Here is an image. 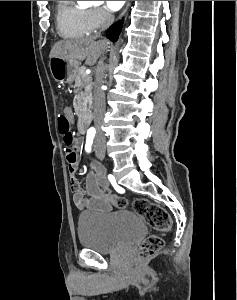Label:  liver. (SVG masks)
I'll return each instance as SVG.
<instances>
[{"instance_id":"obj_1","label":"liver","mask_w":237,"mask_h":300,"mask_svg":"<svg viewBox=\"0 0 237 300\" xmlns=\"http://www.w3.org/2000/svg\"><path fill=\"white\" fill-rule=\"evenodd\" d=\"M107 47L108 41H94V37H84L77 41H58L53 45L49 57H61L72 63H80L86 59V65H95Z\"/></svg>"}]
</instances>
